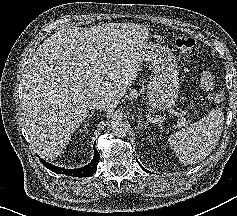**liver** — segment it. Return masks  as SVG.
I'll list each match as a JSON object with an SVG mask.
<instances>
[{
  "label": "liver",
  "instance_id": "obj_1",
  "mask_svg": "<svg viewBox=\"0 0 237 216\" xmlns=\"http://www.w3.org/2000/svg\"><path fill=\"white\" fill-rule=\"evenodd\" d=\"M110 31L104 25L55 32L25 71L23 123L41 152L55 154L65 148L90 115L93 101L106 99L117 105L135 82L140 69L122 62L118 42L106 36Z\"/></svg>",
  "mask_w": 237,
  "mask_h": 216
}]
</instances>
